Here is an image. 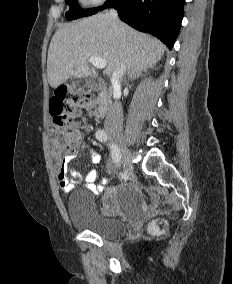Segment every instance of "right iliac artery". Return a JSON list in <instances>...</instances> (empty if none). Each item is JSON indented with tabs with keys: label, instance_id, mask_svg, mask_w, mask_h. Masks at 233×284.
<instances>
[{
	"label": "right iliac artery",
	"instance_id": "right-iliac-artery-1",
	"mask_svg": "<svg viewBox=\"0 0 233 284\" xmlns=\"http://www.w3.org/2000/svg\"><path fill=\"white\" fill-rule=\"evenodd\" d=\"M96 138L101 142H108L109 138L107 133L104 130H98L96 133ZM110 149H111V156L114 161V163L117 165L118 162H120V151L118 147L114 143H109Z\"/></svg>",
	"mask_w": 233,
	"mask_h": 284
}]
</instances>
